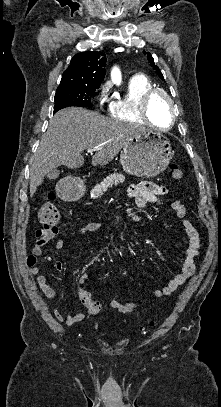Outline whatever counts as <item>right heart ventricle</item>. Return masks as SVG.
Wrapping results in <instances>:
<instances>
[{"instance_id": "1", "label": "right heart ventricle", "mask_w": 221, "mask_h": 407, "mask_svg": "<svg viewBox=\"0 0 221 407\" xmlns=\"http://www.w3.org/2000/svg\"><path fill=\"white\" fill-rule=\"evenodd\" d=\"M153 88L152 82L146 76L132 77L127 84L126 92L109 103V115L117 120L144 124L139 106L144 95Z\"/></svg>"}]
</instances>
